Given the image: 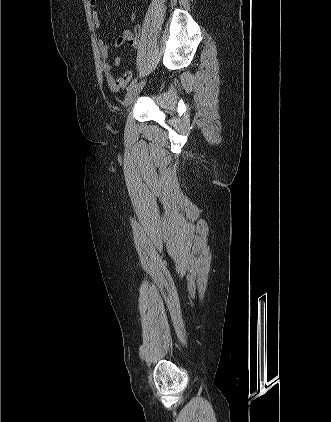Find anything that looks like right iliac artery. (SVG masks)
<instances>
[{"mask_svg": "<svg viewBox=\"0 0 331 422\" xmlns=\"http://www.w3.org/2000/svg\"><path fill=\"white\" fill-rule=\"evenodd\" d=\"M137 83V79L135 78L127 87V91L131 90Z\"/></svg>", "mask_w": 331, "mask_h": 422, "instance_id": "obj_1", "label": "right iliac artery"}]
</instances>
